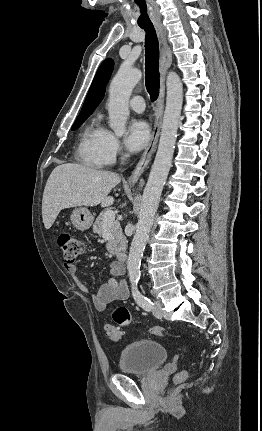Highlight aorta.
<instances>
[{
    "label": "aorta",
    "instance_id": "1",
    "mask_svg": "<svg viewBox=\"0 0 262 431\" xmlns=\"http://www.w3.org/2000/svg\"><path fill=\"white\" fill-rule=\"evenodd\" d=\"M141 77L142 72L139 69L125 64L121 66L110 84L109 126L118 137L125 133V124L129 116V98ZM166 87V107L158 150L143 192L139 220L127 261L128 275L132 284L140 279L141 259L171 167L183 104V86L175 72L168 73Z\"/></svg>",
    "mask_w": 262,
    "mask_h": 431
}]
</instances>
